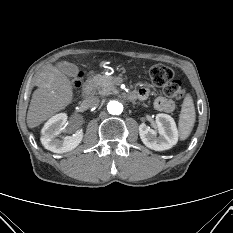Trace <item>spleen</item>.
Masks as SVG:
<instances>
[{
    "label": "spleen",
    "instance_id": "3e777b00",
    "mask_svg": "<svg viewBox=\"0 0 233 233\" xmlns=\"http://www.w3.org/2000/svg\"><path fill=\"white\" fill-rule=\"evenodd\" d=\"M195 123V108L192 97L188 94L182 104L179 118V133L182 140L188 138Z\"/></svg>",
    "mask_w": 233,
    "mask_h": 233
}]
</instances>
